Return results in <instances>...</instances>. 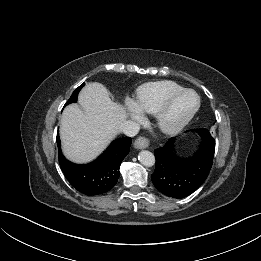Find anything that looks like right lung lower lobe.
<instances>
[{
  "instance_id": "98d812e1",
  "label": "right lung lower lobe",
  "mask_w": 261,
  "mask_h": 261,
  "mask_svg": "<svg viewBox=\"0 0 261 261\" xmlns=\"http://www.w3.org/2000/svg\"><path fill=\"white\" fill-rule=\"evenodd\" d=\"M130 145V137L116 139L94 162L77 165L63 156L57 135L59 163L64 175L76 190L89 196L104 194L116 185L120 175L119 166L128 155Z\"/></svg>"
}]
</instances>
